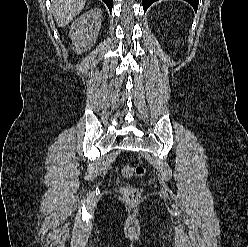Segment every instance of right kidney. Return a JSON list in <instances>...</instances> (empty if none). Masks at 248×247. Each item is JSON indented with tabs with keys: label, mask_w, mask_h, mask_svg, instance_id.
I'll use <instances>...</instances> for the list:
<instances>
[{
	"label": "right kidney",
	"mask_w": 248,
	"mask_h": 247,
	"mask_svg": "<svg viewBox=\"0 0 248 247\" xmlns=\"http://www.w3.org/2000/svg\"><path fill=\"white\" fill-rule=\"evenodd\" d=\"M101 22L102 11L92 9L72 23L69 35L77 53L87 51L96 43Z\"/></svg>",
	"instance_id": "right-kidney-1"
}]
</instances>
